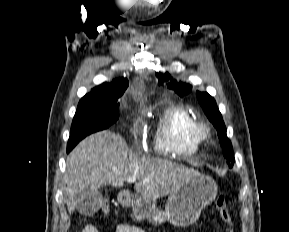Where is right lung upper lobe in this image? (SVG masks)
Returning <instances> with one entry per match:
<instances>
[{
  "label": "right lung upper lobe",
  "instance_id": "cb5924a9",
  "mask_svg": "<svg viewBox=\"0 0 289 232\" xmlns=\"http://www.w3.org/2000/svg\"><path fill=\"white\" fill-rule=\"evenodd\" d=\"M128 86L125 78L115 79L112 83H103L91 90L83 98H112L118 99Z\"/></svg>",
  "mask_w": 289,
  "mask_h": 232
}]
</instances>
